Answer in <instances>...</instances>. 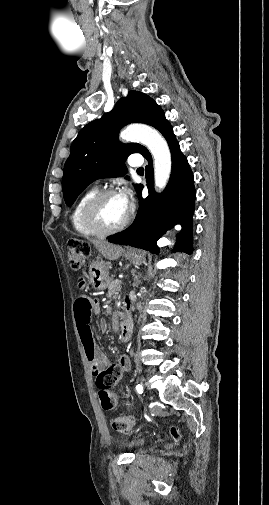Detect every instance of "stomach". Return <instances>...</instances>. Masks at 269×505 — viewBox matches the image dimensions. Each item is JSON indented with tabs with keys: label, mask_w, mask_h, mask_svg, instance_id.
I'll return each instance as SVG.
<instances>
[{
	"label": "stomach",
	"mask_w": 269,
	"mask_h": 505,
	"mask_svg": "<svg viewBox=\"0 0 269 505\" xmlns=\"http://www.w3.org/2000/svg\"><path fill=\"white\" fill-rule=\"evenodd\" d=\"M125 258L133 264H141L144 260L140 251L127 252ZM111 264L105 261H95L89 266V282L96 290H105L111 284L109 270Z\"/></svg>",
	"instance_id": "stomach-1"
}]
</instances>
